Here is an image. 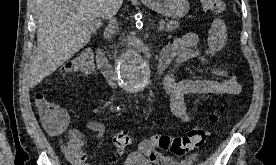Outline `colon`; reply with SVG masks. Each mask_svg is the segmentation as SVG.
Listing matches in <instances>:
<instances>
[{
	"label": "colon",
	"mask_w": 276,
	"mask_h": 165,
	"mask_svg": "<svg viewBox=\"0 0 276 165\" xmlns=\"http://www.w3.org/2000/svg\"><path fill=\"white\" fill-rule=\"evenodd\" d=\"M206 13L218 16L224 9L223 0H201ZM227 41V28L223 20L215 19L208 33V51L211 54L221 51ZM93 65V55L89 50H84L75 58L70 60L63 68L62 75L65 79L72 76H85L90 73ZM35 103L40 119L46 130L52 134L62 133L68 124L66 113L58 105L51 102L45 95L38 93ZM224 108L211 113L206 123L198 125L181 137H171L167 135L155 134L148 139V143L142 146V151L149 160L156 157L158 150L168 151L176 156H183L201 147L208 136L207 125L218 121ZM114 147L123 151L131 144V137L126 131H118L112 138ZM69 154L75 155L76 149L73 146L66 147Z\"/></svg>",
	"instance_id": "colon-1"
}]
</instances>
